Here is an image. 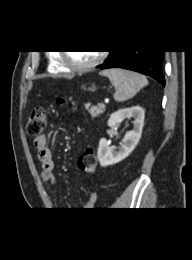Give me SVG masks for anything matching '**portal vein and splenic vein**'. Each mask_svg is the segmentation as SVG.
Segmentation results:
<instances>
[{
	"label": "portal vein and splenic vein",
	"instance_id": "obj_1",
	"mask_svg": "<svg viewBox=\"0 0 192 260\" xmlns=\"http://www.w3.org/2000/svg\"><path fill=\"white\" fill-rule=\"evenodd\" d=\"M100 106L105 107V104H104V103H101Z\"/></svg>",
	"mask_w": 192,
	"mask_h": 260
}]
</instances>
